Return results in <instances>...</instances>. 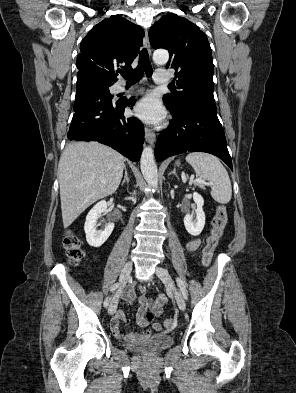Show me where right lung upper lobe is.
<instances>
[{
  "label": "right lung upper lobe",
  "instance_id": "cb5924a9",
  "mask_svg": "<svg viewBox=\"0 0 296 393\" xmlns=\"http://www.w3.org/2000/svg\"><path fill=\"white\" fill-rule=\"evenodd\" d=\"M144 37L143 29L119 15L95 25L84 37L77 56V74L109 83L117 81L119 67L130 70Z\"/></svg>",
  "mask_w": 296,
  "mask_h": 393
}]
</instances>
